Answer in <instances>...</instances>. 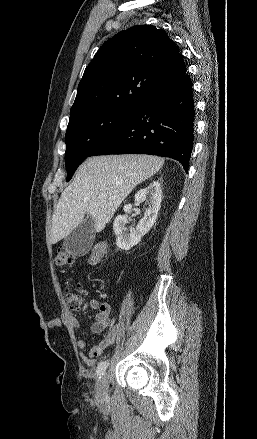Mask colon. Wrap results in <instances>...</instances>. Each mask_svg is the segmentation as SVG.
<instances>
[{
	"instance_id": "obj_1",
	"label": "colon",
	"mask_w": 257,
	"mask_h": 439,
	"mask_svg": "<svg viewBox=\"0 0 257 439\" xmlns=\"http://www.w3.org/2000/svg\"><path fill=\"white\" fill-rule=\"evenodd\" d=\"M107 252V245L104 241L97 242L91 249L89 261L92 265L100 264ZM75 261L74 255L64 248H59L55 255V263L58 266H71ZM85 290L76 285L65 290V301L72 310H79L82 306Z\"/></svg>"
}]
</instances>
